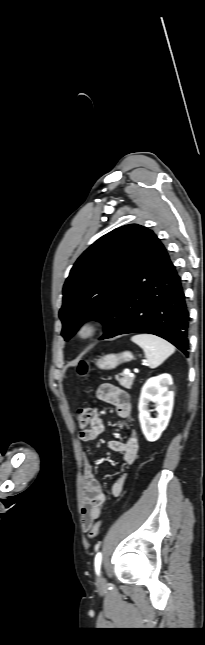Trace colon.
Instances as JSON below:
<instances>
[{
	"label": "colon",
	"mask_w": 205,
	"mask_h": 645,
	"mask_svg": "<svg viewBox=\"0 0 205 645\" xmlns=\"http://www.w3.org/2000/svg\"><path fill=\"white\" fill-rule=\"evenodd\" d=\"M77 371H78V374L80 376H82V377L86 376V374L88 372V364H87V362L86 361H81L79 366H78ZM92 418H93V410H92L91 407L81 408V409H79L77 411L76 420L78 422L79 427L82 428V429H84L85 427H87L90 424ZM101 523L102 522L99 520V521L95 522L91 526V528L89 529V537L91 539H94L98 535L100 527H101Z\"/></svg>",
	"instance_id": "1"
}]
</instances>
